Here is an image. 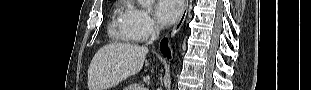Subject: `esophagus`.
I'll list each match as a JSON object with an SVG mask.
<instances>
[{
	"mask_svg": "<svg viewBox=\"0 0 311 90\" xmlns=\"http://www.w3.org/2000/svg\"><path fill=\"white\" fill-rule=\"evenodd\" d=\"M188 4L189 1L185 0L184 1V6H183V10L181 12L180 18L177 21L176 25L174 26L172 32H171V37H174L175 35H177V33L180 31L181 27L183 26V23L186 19L187 13H188Z\"/></svg>",
	"mask_w": 311,
	"mask_h": 90,
	"instance_id": "34e87169",
	"label": "esophagus"
}]
</instances>
